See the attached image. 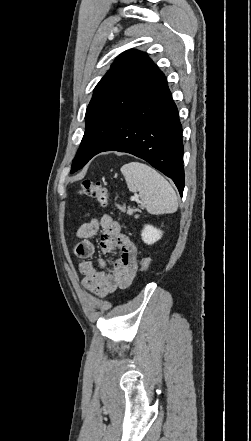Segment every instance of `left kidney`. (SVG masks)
Wrapping results in <instances>:
<instances>
[{"instance_id": "5707ae66", "label": "left kidney", "mask_w": 251, "mask_h": 441, "mask_svg": "<svg viewBox=\"0 0 251 441\" xmlns=\"http://www.w3.org/2000/svg\"><path fill=\"white\" fill-rule=\"evenodd\" d=\"M141 237L144 243L151 245L162 237V231L154 228L152 225H145Z\"/></svg>"}]
</instances>
